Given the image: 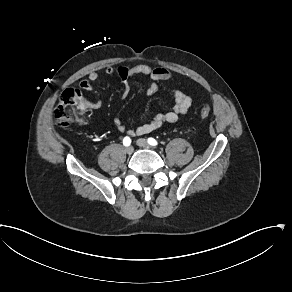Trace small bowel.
I'll use <instances>...</instances> for the list:
<instances>
[{
	"instance_id": "1",
	"label": "small bowel",
	"mask_w": 292,
	"mask_h": 292,
	"mask_svg": "<svg viewBox=\"0 0 292 292\" xmlns=\"http://www.w3.org/2000/svg\"><path fill=\"white\" fill-rule=\"evenodd\" d=\"M104 73L106 75L117 73L124 83V95H127L129 92V80L136 75H145L150 78L151 83L146 89V94L148 96H152L157 92L159 82L174 81L176 83L175 87L172 89L174 104L171 110L165 113H157L148 122L130 130L126 129L120 118L115 117L113 119V124L120 133H126L131 136L144 135L159 129L164 124H174L178 121L180 116L185 115L188 112L193 103L192 97L185 93L183 86L175 80L174 75L166 68L151 67L145 64H139L132 67L119 66L116 69L108 66L104 69ZM99 78L100 74L98 71H90L86 78L79 81V88L83 91L99 96V92L93 85L99 80ZM88 105L91 108H99L101 106V100L98 98L96 101L88 102Z\"/></svg>"
}]
</instances>
